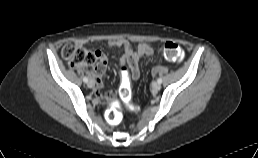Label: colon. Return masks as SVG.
Wrapping results in <instances>:
<instances>
[{
    "mask_svg": "<svg viewBox=\"0 0 258 158\" xmlns=\"http://www.w3.org/2000/svg\"><path fill=\"white\" fill-rule=\"evenodd\" d=\"M159 50L164 57L171 62L179 63L184 58V51L181 46L174 41H166L158 45ZM62 56L73 67L80 65H92L96 61L95 54L86 50L77 42H68L62 48ZM122 83L120 87V97L128 104L131 111H139L137 105L130 103L131 91H130V76L128 74V65L123 64L121 67ZM120 104L118 101H111L108 112L107 120L110 124H118L121 121Z\"/></svg>",
    "mask_w": 258,
    "mask_h": 158,
    "instance_id": "obj_1",
    "label": "colon"
}]
</instances>
